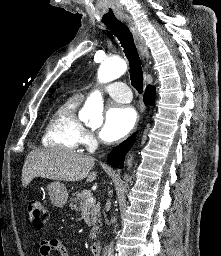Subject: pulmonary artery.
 Listing matches in <instances>:
<instances>
[{"label":"pulmonary artery","mask_w":221,"mask_h":256,"mask_svg":"<svg viewBox=\"0 0 221 256\" xmlns=\"http://www.w3.org/2000/svg\"><path fill=\"white\" fill-rule=\"evenodd\" d=\"M104 92L118 102L128 103L131 101V92L123 82H113L104 87Z\"/></svg>","instance_id":"pulmonary-artery-1"}]
</instances>
